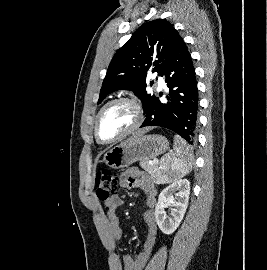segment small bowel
Listing matches in <instances>:
<instances>
[{"instance_id":"small-bowel-1","label":"small bowel","mask_w":267,"mask_h":270,"mask_svg":"<svg viewBox=\"0 0 267 270\" xmlns=\"http://www.w3.org/2000/svg\"><path fill=\"white\" fill-rule=\"evenodd\" d=\"M121 185L130 189H139L145 196L146 210L143 214L147 225V236L140 252L132 258L129 255L116 257L115 264L124 267V270H141L149 256L151 255L157 238V222L154 208L156 206L157 190L148 176L137 168H129L124 173ZM123 201L118 195L112 196L104 202L107 208V218L109 222L110 236L114 241H119L123 237V230L118 217V209Z\"/></svg>"}]
</instances>
